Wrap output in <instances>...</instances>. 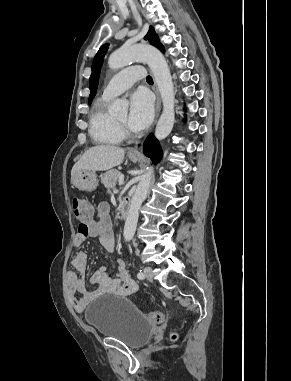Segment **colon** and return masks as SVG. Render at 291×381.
I'll list each match as a JSON object with an SVG mask.
<instances>
[{
    "label": "colon",
    "mask_w": 291,
    "mask_h": 381,
    "mask_svg": "<svg viewBox=\"0 0 291 381\" xmlns=\"http://www.w3.org/2000/svg\"><path fill=\"white\" fill-rule=\"evenodd\" d=\"M72 212L79 221L83 230L87 229L88 224L93 218V206L87 200L74 197L72 200ZM148 320L154 324H160L164 320V314L160 311H150L146 314ZM172 338H176V334H172Z\"/></svg>",
    "instance_id": "obj_1"
}]
</instances>
